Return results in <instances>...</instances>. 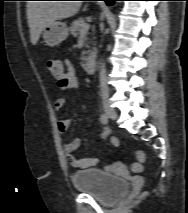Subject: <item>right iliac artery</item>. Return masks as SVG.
I'll use <instances>...</instances> for the list:
<instances>
[{
  "instance_id": "right-iliac-artery-1",
  "label": "right iliac artery",
  "mask_w": 188,
  "mask_h": 213,
  "mask_svg": "<svg viewBox=\"0 0 188 213\" xmlns=\"http://www.w3.org/2000/svg\"><path fill=\"white\" fill-rule=\"evenodd\" d=\"M100 121H101L103 124H107V123L109 122V117H108V115L102 114L101 117H100Z\"/></svg>"
}]
</instances>
